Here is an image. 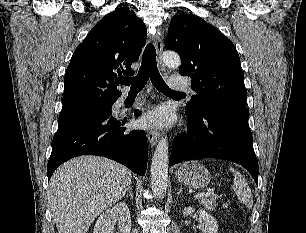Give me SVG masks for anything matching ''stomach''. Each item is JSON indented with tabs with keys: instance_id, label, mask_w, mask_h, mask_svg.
I'll list each match as a JSON object with an SVG mask.
<instances>
[{
	"instance_id": "obj_1",
	"label": "stomach",
	"mask_w": 306,
	"mask_h": 233,
	"mask_svg": "<svg viewBox=\"0 0 306 233\" xmlns=\"http://www.w3.org/2000/svg\"><path fill=\"white\" fill-rule=\"evenodd\" d=\"M175 175L180 183L194 189L205 188L211 178L207 168L195 160L181 164Z\"/></svg>"
}]
</instances>
